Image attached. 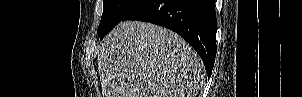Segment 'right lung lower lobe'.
Returning <instances> with one entry per match:
<instances>
[{
	"instance_id": "obj_1",
	"label": "right lung lower lobe",
	"mask_w": 302,
	"mask_h": 97,
	"mask_svg": "<svg viewBox=\"0 0 302 97\" xmlns=\"http://www.w3.org/2000/svg\"><path fill=\"white\" fill-rule=\"evenodd\" d=\"M125 20L150 22L175 31L197 51L211 76L216 56L215 0H143Z\"/></svg>"
}]
</instances>
